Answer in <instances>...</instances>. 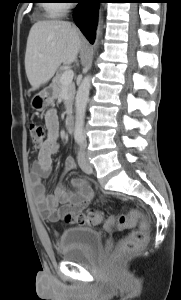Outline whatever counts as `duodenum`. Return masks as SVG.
<instances>
[{
    "mask_svg": "<svg viewBox=\"0 0 181 300\" xmlns=\"http://www.w3.org/2000/svg\"><path fill=\"white\" fill-rule=\"evenodd\" d=\"M66 129L69 133H72L74 130V115L72 112H67L65 118Z\"/></svg>",
    "mask_w": 181,
    "mask_h": 300,
    "instance_id": "duodenum-1",
    "label": "duodenum"
}]
</instances>
